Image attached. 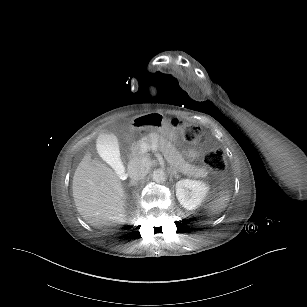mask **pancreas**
<instances>
[{"mask_svg":"<svg viewBox=\"0 0 307 307\" xmlns=\"http://www.w3.org/2000/svg\"><path fill=\"white\" fill-rule=\"evenodd\" d=\"M143 142L151 145V142L158 144L166 158V160L175 167V169H179L180 171L186 172L188 175L196 174L197 176H202L206 173L205 168L202 165H197L196 167L193 164H188L185 160H183L180 153L177 149L165 142L164 138H160L157 135H151L150 137H143L140 141L137 142L135 147L132 149L133 156H137Z\"/></svg>","mask_w":307,"mask_h":307,"instance_id":"pancreas-1","label":"pancreas"}]
</instances>
